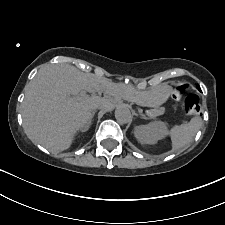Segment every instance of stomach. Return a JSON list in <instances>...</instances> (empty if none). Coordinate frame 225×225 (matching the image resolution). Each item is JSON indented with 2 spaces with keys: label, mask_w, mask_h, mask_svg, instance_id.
<instances>
[{
  "label": "stomach",
  "mask_w": 225,
  "mask_h": 225,
  "mask_svg": "<svg viewBox=\"0 0 225 225\" xmlns=\"http://www.w3.org/2000/svg\"><path fill=\"white\" fill-rule=\"evenodd\" d=\"M168 96H169V87L164 86L144 96L143 102L145 106L159 107L167 100Z\"/></svg>",
  "instance_id": "stomach-1"
}]
</instances>
